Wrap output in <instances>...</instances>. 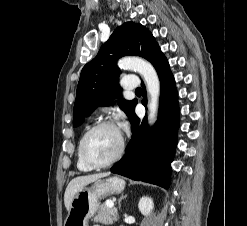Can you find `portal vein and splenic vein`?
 I'll use <instances>...</instances> for the list:
<instances>
[{
    "mask_svg": "<svg viewBox=\"0 0 247 226\" xmlns=\"http://www.w3.org/2000/svg\"><path fill=\"white\" fill-rule=\"evenodd\" d=\"M107 204L109 205V206H113L114 205V203L112 202V201H107Z\"/></svg>",
    "mask_w": 247,
    "mask_h": 226,
    "instance_id": "portal-vein-and-splenic-vein-1",
    "label": "portal vein and splenic vein"
}]
</instances>
